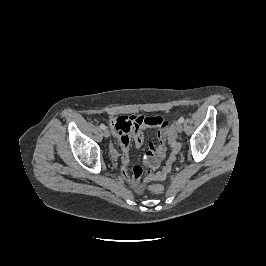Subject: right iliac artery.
I'll use <instances>...</instances> for the list:
<instances>
[{"mask_svg": "<svg viewBox=\"0 0 266 266\" xmlns=\"http://www.w3.org/2000/svg\"><path fill=\"white\" fill-rule=\"evenodd\" d=\"M100 128L104 130L106 126L104 124H100Z\"/></svg>", "mask_w": 266, "mask_h": 266, "instance_id": "right-iliac-artery-1", "label": "right iliac artery"}]
</instances>
